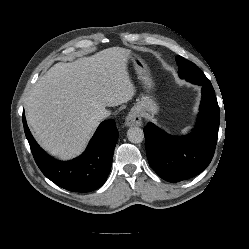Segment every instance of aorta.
Instances as JSON below:
<instances>
[{
	"mask_svg": "<svg viewBox=\"0 0 249 249\" xmlns=\"http://www.w3.org/2000/svg\"><path fill=\"white\" fill-rule=\"evenodd\" d=\"M127 138L131 143H141L144 140L143 130L139 127H131L127 131Z\"/></svg>",
	"mask_w": 249,
	"mask_h": 249,
	"instance_id": "aorta-1",
	"label": "aorta"
}]
</instances>
